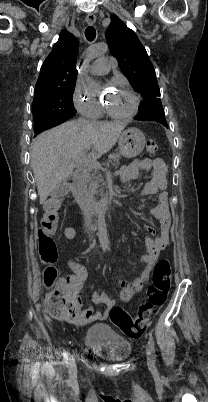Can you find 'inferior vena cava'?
<instances>
[{"mask_svg":"<svg viewBox=\"0 0 208 402\" xmlns=\"http://www.w3.org/2000/svg\"><path fill=\"white\" fill-rule=\"evenodd\" d=\"M77 122L78 124H89V120H85V118H78ZM82 212L84 214L85 228L87 232H92V220L88 208L84 206V208H82Z\"/></svg>","mask_w":208,"mask_h":402,"instance_id":"602c4592","label":"inferior vena cava"}]
</instances>
